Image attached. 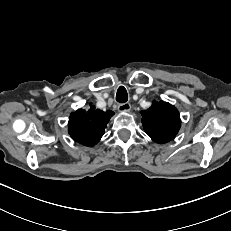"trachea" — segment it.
Here are the masks:
<instances>
[{"instance_id": "1", "label": "trachea", "mask_w": 231, "mask_h": 231, "mask_svg": "<svg viewBox=\"0 0 231 231\" xmlns=\"http://www.w3.org/2000/svg\"><path fill=\"white\" fill-rule=\"evenodd\" d=\"M128 100V94L125 87L120 86L117 90L116 101L119 103H125Z\"/></svg>"}]
</instances>
